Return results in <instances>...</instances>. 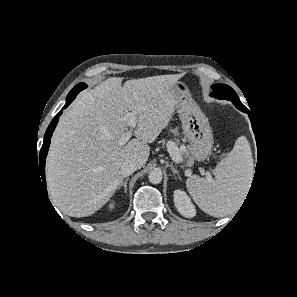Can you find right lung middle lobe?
Instances as JSON below:
<instances>
[{
  "instance_id": "dd1d6c3e",
  "label": "right lung middle lobe",
  "mask_w": 297,
  "mask_h": 297,
  "mask_svg": "<svg viewBox=\"0 0 297 297\" xmlns=\"http://www.w3.org/2000/svg\"><path fill=\"white\" fill-rule=\"evenodd\" d=\"M87 86L84 83H79L78 85L74 86V88L69 92L68 96H67V100L70 99H75V96L82 91L83 89H85Z\"/></svg>"
}]
</instances>
